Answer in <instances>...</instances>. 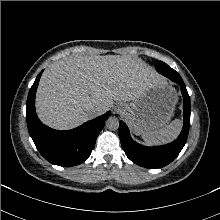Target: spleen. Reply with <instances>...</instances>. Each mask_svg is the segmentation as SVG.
Returning <instances> with one entry per match:
<instances>
[{
	"mask_svg": "<svg viewBox=\"0 0 220 220\" xmlns=\"http://www.w3.org/2000/svg\"><path fill=\"white\" fill-rule=\"evenodd\" d=\"M181 127V120L175 119L161 129L144 132L142 138L149 145L167 143L178 136Z\"/></svg>",
	"mask_w": 220,
	"mask_h": 220,
	"instance_id": "spleen-1",
	"label": "spleen"
}]
</instances>
